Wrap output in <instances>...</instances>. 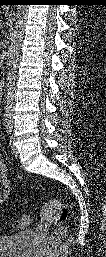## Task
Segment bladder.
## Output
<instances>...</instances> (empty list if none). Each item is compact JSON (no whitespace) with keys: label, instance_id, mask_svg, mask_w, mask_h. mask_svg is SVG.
I'll return each instance as SVG.
<instances>
[{"label":"bladder","instance_id":"bladder-1","mask_svg":"<svg viewBox=\"0 0 106 257\" xmlns=\"http://www.w3.org/2000/svg\"><path fill=\"white\" fill-rule=\"evenodd\" d=\"M33 236L32 230H24L14 235L1 237V257H27L31 251Z\"/></svg>","mask_w":106,"mask_h":257}]
</instances>
